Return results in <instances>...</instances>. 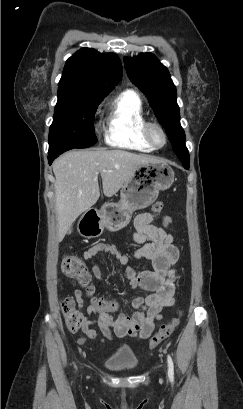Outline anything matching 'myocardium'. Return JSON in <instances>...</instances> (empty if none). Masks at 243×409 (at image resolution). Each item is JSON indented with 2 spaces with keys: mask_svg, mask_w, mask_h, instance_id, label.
<instances>
[{
  "mask_svg": "<svg viewBox=\"0 0 243 409\" xmlns=\"http://www.w3.org/2000/svg\"><path fill=\"white\" fill-rule=\"evenodd\" d=\"M155 131H159L163 136V143H158L155 139ZM145 136L148 142L155 148L161 149L168 143V135L164 127L158 122H147L145 125Z\"/></svg>",
  "mask_w": 243,
  "mask_h": 409,
  "instance_id": "myocardium-1",
  "label": "myocardium"
}]
</instances>
